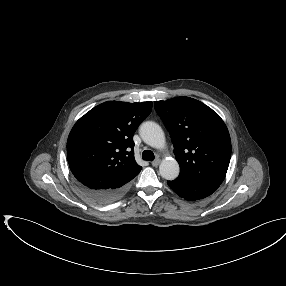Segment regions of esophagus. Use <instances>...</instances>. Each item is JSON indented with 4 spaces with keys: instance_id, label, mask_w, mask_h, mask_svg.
Segmentation results:
<instances>
[{
    "instance_id": "obj_1",
    "label": "esophagus",
    "mask_w": 286,
    "mask_h": 286,
    "mask_svg": "<svg viewBox=\"0 0 286 286\" xmlns=\"http://www.w3.org/2000/svg\"><path fill=\"white\" fill-rule=\"evenodd\" d=\"M152 166L157 167L160 164V159H155L154 161L151 162Z\"/></svg>"
}]
</instances>
